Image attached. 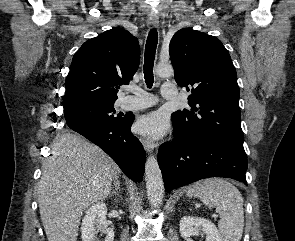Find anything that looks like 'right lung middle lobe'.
Segmentation results:
<instances>
[{
    "instance_id": "1",
    "label": "right lung middle lobe",
    "mask_w": 295,
    "mask_h": 241,
    "mask_svg": "<svg viewBox=\"0 0 295 241\" xmlns=\"http://www.w3.org/2000/svg\"><path fill=\"white\" fill-rule=\"evenodd\" d=\"M114 103L87 106L64 113L67 125L85 120H106L114 123H123L127 115L116 114Z\"/></svg>"
}]
</instances>
